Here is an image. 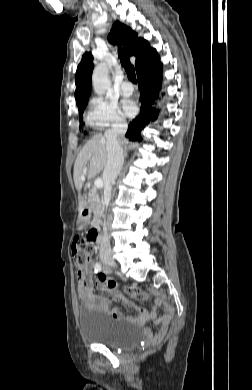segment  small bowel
<instances>
[{
  "mask_svg": "<svg viewBox=\"0 0 252 390\" xmlns=\"http://www.w3.org/2000/svg\"><path fill=\"white\" fill-rule=\"evenodd\" d=\"M93 269H95V265L94 262L91 260L90 263L87 265V267L83 271L78 273V278H79L78 298L79 301L87 309L91 311H98V312L105 313L115 319L128 320L137 323H144L150 317L155 316L156 309L158 307L163 306L165 313L156 321V323L159 326V331L156 335L152 332H149V334L152 338H157L158 336L164 334L167 331L170 321L173 317V308L170 305L164 303L162 298L157 297L156 306L153 312L148 313L141 307L135 306L129 299H127L124 296V294L117 288L116 283L113 280L107 278L105 274H100L98 276V279L94 283L93 276H92ZM94 288L100 291H104L108 289L110 294L113 297L120 300L127 307L133 309L135 315L126 316L118 309L111 308L110 299L97 295L94 292ZM125 292L130 293L132 296L140 300L148 301L150 299L149 294L145 292L134 291L130 289H126Z\"/></svg>",
  "mask_w": 252,
  "mask_h": 390,
  "instance_id": "1",
  "label": "small bowel"
}]
</instances>
